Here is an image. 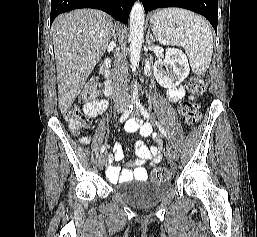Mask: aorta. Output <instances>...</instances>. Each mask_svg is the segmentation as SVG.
Segmentation results:
<instances>
[{"mask_svg": "<svg viewBox=\"0 0 257 237\" xmlns=\"http://www.w3.org/2000/svg\"><path fill=\"white\" fill-rule=\"evenodd\" d=\"M129 23L130 62L132 71L135 72L139 65L144 36V8L140 2H136L133 5L130 12ZM132 96L134 99L138 96L137 86H135Z\"/></svg>", "mask_w": 257, "mask_h": 237, "instance_id": "obj_1", "label": "aorta"}]
</instances>
